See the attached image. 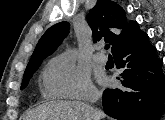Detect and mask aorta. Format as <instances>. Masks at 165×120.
<instances>
[{"instance_id":"1","label":"aorta","mask_w":165,"mask_h":120,"mask_svg":"<svg viewBox=\"0 0 165 120\" xmlns=\"http://www.w3.org/2000/svg\"><path fill=\"white\" fill-rule=\"evenodd\" d=\"M76 54V51L74 49H69L67 52H66V55L69 56V57H72Z\"/></svg>"}]
</instances>
